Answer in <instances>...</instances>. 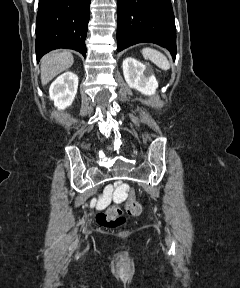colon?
<instances>
[{
	"mask_svg": "<svg viewBox=\"0 0 240 288\" xmlns=\"http://www.w3.org/2000/svg\"><path fill=\"white\" fill-rule=\"evenodd\" d=\"M129 197L125 203V209L129 215L137 216L141 213V205L134 198V190L125 185ZM97 222L105 228H114L125 221V214L119 205H112L96 216Z\"/></svg>",
	"mask_w": 240,
	"mask_h": 288,
	"instance_id": "1",
	"label": "colon"
}]
</instances>
